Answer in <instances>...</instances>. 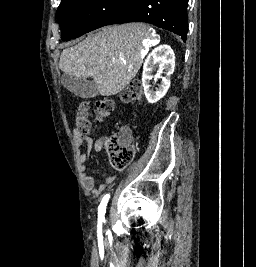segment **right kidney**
Returning a JSON list of instances; mask_svg holds the SVG:
<instances>
[{"instance_id":"1","label":"right kidney","mask_w":256,"mask_h":267,"mask_svg":"<svg viewBox=\"0 0 256 267\" xmlns=\"http://www.w3.org/2000/svg\"><path fill=\"white\" fill-rule=\"evenodd\" d=\"M158 68V72L156 76H152L153 68ZM175 70V54L167 44H162V46H157L152 50L151 54L147 56L144 66H143V74H142V84L144 88V94L150 102V104H156L159 102L165 94H167L170 84H171V76ZM165 74V76H162ZM158 80L161 78L162 82L158 88H156V92L151 90V82L150 80Z\"/></svg>"}]
</instances>
